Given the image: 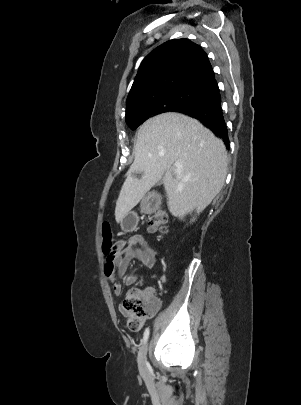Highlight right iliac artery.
<instances>
[{
    "label": "right iliac artery",
    "mask_w": 301,
    "mask_h": 405,
    "mask_svg": "<svg viewBox=\"0 0 301 405\" xmlns=\"http://www.w3.org/2000/svg\"><path fill=\"white\" fill-rule=\"evenodd\" d=\"M148 337H149V328H146L144 331L143 340H142V342L144 344L147 342Z\"/></svg>",
    "instance_id": "1"
}]
</instances>
